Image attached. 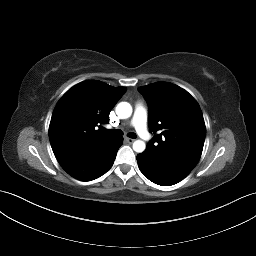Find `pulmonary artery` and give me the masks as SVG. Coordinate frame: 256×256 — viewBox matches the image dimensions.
Returning a JSON list of instances; mask_svg holds the SVG:
<instances>
[{"instance_id":"e3ab8cb5","label":"pulmonary artery","mask_w":256,"mask_h":256,"mask_svg":"<svg viewBox=\"0 0 256 256\" xmlns=\"http://www.w3.org/2000/svg\"><path fill=\"white\" fill-rule=\"evenodd\" d=\"M130 124L144 140H151L147 130V109L142 104H137Z\"/></svg>"}]
</instances>
